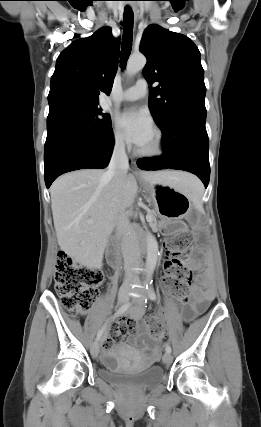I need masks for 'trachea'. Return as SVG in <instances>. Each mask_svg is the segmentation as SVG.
Here are the masks:
<instances>
[{
    "label": "trachea",
    "mask_w": 261,
    "mask_h": 427,
    "mask_svg": "<svg viewBox=\"0 0 261 427\" xmlns=\"http://www.w3.org/2000/svg\"><path fill=\"white\" fill-rule=\"evenodd\" d=\"M123 19H124V32H123L121 55H120V67L122 69L126 67L127 60L132 50V32H133L134 15L129 6H126L124 9Z\"/></svg>",
    "instance_id": "obj_1"
}]
</instances>
